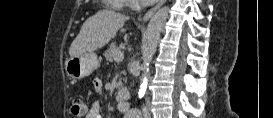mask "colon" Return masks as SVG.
<instances>
[{
    "instance_id": "5ec220e1",
    "label": "colon",
    "mask_w": 273,
    "mask_h": 118,
    "mask_svg": "<svg viewBox=\"0 0 273 118\" xmlns=\"http://www.w3.org/2000/svg\"><path fill=\"white\" fill-rule=\"evenodd\" d=\"M70 112L75 117H83L87 112L85 103L80 98H74L70 105Z\"/></svg>"
}]
</instances>
